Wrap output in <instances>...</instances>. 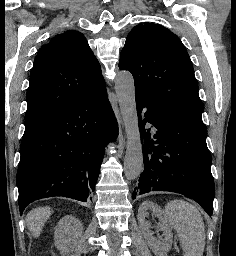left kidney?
Masks as SVG:
<instances>
[{
  "mask_svg": "<svg viewBox=\"0 0 236 256\" xmlns=\"http://www.w3.org/2000/svg\"><path fill=\"white\" fill-rule=\"evenodd\" d=\"M148 210H151L152 214L159 218L160 224H157V230L163 232L164 238H153L151 236V224L146 220ZM138 224L150 250L154 252L155 256H167L169 250H171L173 236L165 212L154 202H142L138 210Z\"/></svg>",
  "mask_w": 236,
  "mask_h": 256,
  "instance_id": "5707ae66",
  "label": "left kidney"
}]
</instances>
